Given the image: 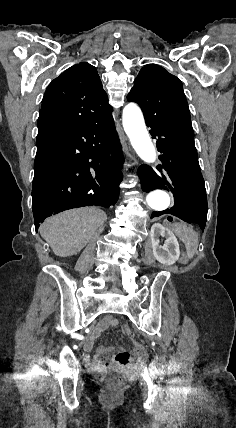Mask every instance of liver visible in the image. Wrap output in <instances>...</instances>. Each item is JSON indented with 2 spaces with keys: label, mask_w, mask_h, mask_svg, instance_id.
<instances>
[{
  "label": "liver",
  "mask_w": 236,
  "mask_h": 428,
  "mask_svg": "<svg viewBox=\"0 0 236 428\" xmlns=\"http://www.w3.org/2000/svg\"><path fill=\"white\" fill-rule=\"evenodd\" d=\"M106 220L105 212L99 208L67 210L47 218L39 228L40 236L55 256L68 258L81 252L95 234L99 236Z\"/></svg>",
  "instance_id": "liver-1"
}]
</instances>
